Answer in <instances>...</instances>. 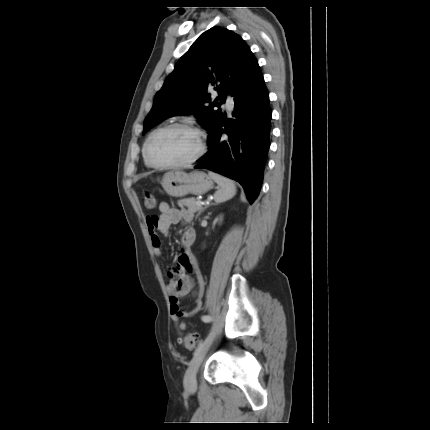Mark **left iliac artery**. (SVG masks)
Returning <instances> with one entry per match:
<instances>
[{"mask_svg":"<svg viewBox=\"0 0 430 430\" xmlns=\"http://www.w3.org/2000/svg\"><path fill=\"white\" fill-rule=\"evenodd\" d=\"M202 320H203L204 322H210V321H212V320H213V318H212L211 316H209V315H206V316H203V317H202ZM201 346H202V343H200V344H199V346H198L197 350L195 351V353L198 351V349H199Z\"/></svg>","mask_w":430,"mask_h":430,"instance_id":"obj_1","label":"left iliac artery"}]
</instances>
